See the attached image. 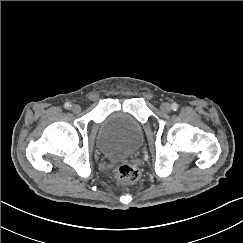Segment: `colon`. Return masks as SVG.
<instances>
[{
    "label": "colon",
    "instance_id": "1",
    "mask_svg": "<svg viewBox=\"0 0 243 243\" xmlns=\"http://www.w3.org/2000/svg\"><path fill=\"white\" fill-rule=\"evenodd\" d=\"M117 180L132 184L138 181L140 173L138 169L130 164H122L114 171Z\"/></svg>",
    "mask_w": 243,
    "mask_h": 243
}]
</instances>
